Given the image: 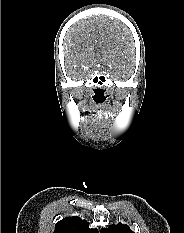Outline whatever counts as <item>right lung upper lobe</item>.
I'll return each instance as SVG.
<instances>
[{
  "instance_id": "1",
  "label": "right lung upper lobe",
  "mask_w": 184,
  "mask_h": 233,
  "mask_svg": "<svg viewBox=\"0 0 184 233\" xmlns=\"http://www.w3.org/2000/svg\"><path fill=\"white\" fill-rule=\"evenodd\" d=\"M88 226L89 223L78 216L66 217L56 223L54 233H99Z\"/></svg>"
}]
</instances>
